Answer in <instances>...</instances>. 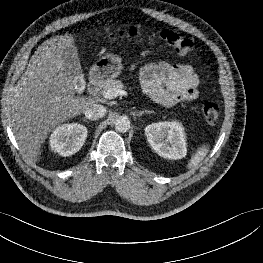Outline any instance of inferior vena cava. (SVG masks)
I'll use <instances>...</instances> for the list:
<instances>
[{
	"instance_id": "obj_1",
	"label": "inferior vena cava",
	"mask_w": 263,
	"mask_h": 263,
	"mask_svg": "<svg viewBox=\"0 0 263 263\" xmlns=\"http://www.w3.org/2000/svg\"><path fill=\"white\" fill-rule=\"evenodd\" d=\"M106 112V108L101 104L91 103L84 111V114L89 120H98L103 117Z\"/></svg>"
}]
</instances>
